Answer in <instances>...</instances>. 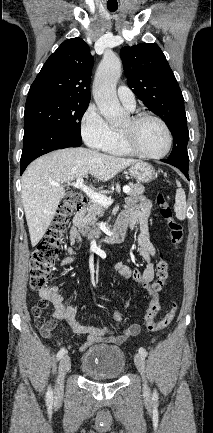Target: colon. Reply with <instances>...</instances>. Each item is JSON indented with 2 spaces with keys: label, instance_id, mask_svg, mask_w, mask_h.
<instances>
[{
  "label": "colon",
  "instance_id": "obj_1",
  "mask_svg": "<svg viewBox=\"0 0 213 433\" xmlns=\"http://www.w3.org/2000/svg\"><path fill=\"white\" fill-rule=\"evenodd\" d=\"M85 199L81 193L71 192L60 204L57 214L45 236L35 246L30 264V285L33 289L43 290L47 287L48 282L52 278V268L59 255L68 222L82 208ZM156 204L159 208L160 216L166 223L171 243L175 247H178L183 240L182 225L174 219L173 211L162 193L157 194ZM168 275V265L161 259L157 264L156 280L154 282V288L157 291L164 288ZM48 306L49 302L46 299H42L32 309L35 322L40 328L47 325L48 321L44 313ZM176 310L177 305L173 303L171 309L159 321H154L153 319L147 320V328L154 332L166 328L175 317ZM121 316H123L121 312H115L114 321H121ZM124 336L126 338L134 336V333L127 330Z\"/></svg>",
  "mask_w": 213,
  "mask_h": 433
}]
</instances>
